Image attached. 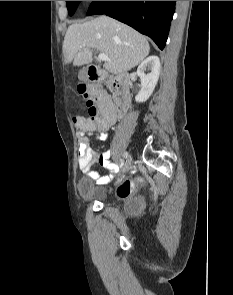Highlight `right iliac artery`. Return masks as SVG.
I'll return each instance as SVG.
<instances>
[{"mask_svg": "<svg viewBox=\"0 0 233 295\" xmlns=\"http://www.w3.org/2000/svg\"><path fill=\"white\" fill-rule=\"evenodd\" d=\"M124 157L127 158L128 157V152L124 153Z\"/></svg>", "mask_w": 233, "mask_h": 295, "instance_id": "1", "label": "right iliac artery"}]
</instances>
